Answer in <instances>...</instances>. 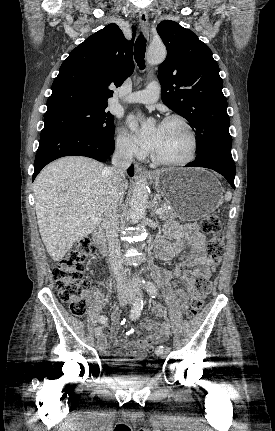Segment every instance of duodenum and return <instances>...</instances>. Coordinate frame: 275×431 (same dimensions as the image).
<instances>
[{"instance_id": "duodenum-1", "label": "duodenum", "mask_w": 275, "mask_h": 431, "mask_svg": "<svg viewBox=\"0 0 275 431\" xmlns=\"http://www.w3.org/2000/svg\"><path fill=\"white\" fill-rule=\"evenodd\" d=\"M93 239L96 245L98 246L99 252L102 256L106 255L107 245H106V237L102 228H97L93 233Z\"/></svg>"}]
</instances>
